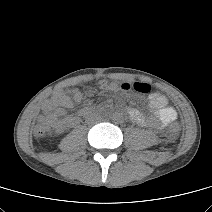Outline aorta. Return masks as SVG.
<instances>
[{"instance_id": "obj_1", "label": "aorta", "mask_w": 212, "mask_h": 212, "mask_svg": "<svg viewBox=\"0 0 212 212\" xmlns=\"http://www.w3.org/2000/svg\"><path fill=\"white\" fill-rule=\"evenodd\" d=\"M111 119L114 123L119 124L123 121L124 116L121 112L116 111L112 114Z\"/></svg>"}]
</instances>
